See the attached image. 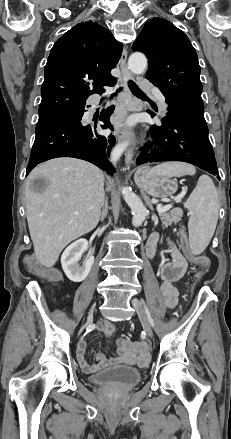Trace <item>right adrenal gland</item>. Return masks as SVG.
<instances>
[{
  "mask_svg": "<svg viewBox=\"0 0 231 439\" xmlns=\"http://www.w3.org/2000/svg\"><path fill=\"white\" fill-rule=\"evenodd\" d=\"M108 213V198H105L104 204H103V210L101 213V221L105 219Z\"/></svg>",
  "mask_w": 231,
  "mask_h": 439,
  "instance_id": "obj_1",
  "label": "right adrenal gland"
}]
</instances>
